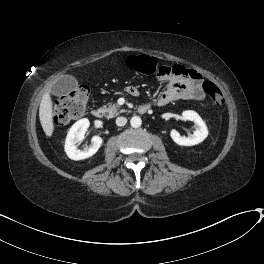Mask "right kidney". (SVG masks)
<instances>
[{
	"label": "right kidney",
	"mask_w": 264,
	"mask_h": 264,
	"mask_svg": "<svg viewBox=\"0 0 264 264\" xmlns=\"http://www.w3.org/2000/svg\"><path fill=\"white\" fill-rule=\"evenodd\" d=\"M87 118L77 121L68 131L65 141V152L72 160H83L93 156L100 148L103 140L100 136H93L92 145L83 150L77 149L76 144L83 141L84 135L89 127Z\"/></svg>",
	"instance_id": "right-kidney-1"
}]
</instances>
